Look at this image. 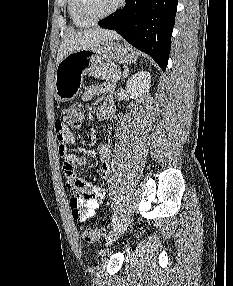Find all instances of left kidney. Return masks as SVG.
<instances>
[{
	"instance_id": "obj_1",
	"label": "left kidney",
	"mask_w": 233,
	"mask_h": 286,
	"mask_svg": "<svg viewBox=\"0 0 233 286\" xmlns=\"http://www.w3.org/2000/svg\"><path fill=\"white\" fill-rule=\"evenodd\" d=\"M151 75L149 72L140 71L133 75L127 82L126 89L131 99H137L149 92Z\"/></svg>"
}]
</instances>
